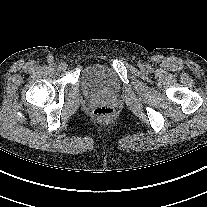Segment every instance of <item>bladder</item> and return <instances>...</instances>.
<instances>
[{
    "mask_svg": "<svg viewBox=\"0 0 207 207\" xmlns=\"http://www.w3.org/2000/svg\"><path fill=\"white\" fill-rule=\"evenodd\" d=\"M81 84L84 91L91 95L112 94L118 89L114 71L101 63H94L85 68Z\"/></svg>",
    "mask_w": 207,
    "mask_h": 207,
    "instance_id": "bladder-1",
    "label": "bladder"
}]
</instances>
